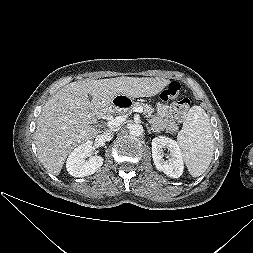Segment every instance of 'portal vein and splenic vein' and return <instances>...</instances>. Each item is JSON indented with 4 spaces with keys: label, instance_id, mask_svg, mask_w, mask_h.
I'll return each mask as SVG.
<instances>
[{
    "label": "portal vein and splenic vein",
    "instance_id": "obj_1",
    "mask_svg": "<svg viewBox=\"0 0 253 253\" xmlns=\"http://www.w3.org/2000/svg\"><path fill=\"white\" fill-rule=\"evenodd\" d=\"M134 111L140 113L143 111V109L141 107H138ZM123 121H125V118L123 116H119V117H116L115 119L109 121L107 123V126L112 129L113 127L119 126Z\"/></svg>",
    "mask_w": 253,
    "mask_h": 253
}]
</instances>
